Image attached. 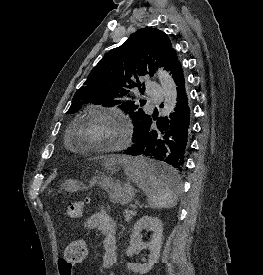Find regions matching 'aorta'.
I'll return each instance as SVG.
<instances>
[{
  "label": "aorta",
  "mask_w": 263,
  "mask_h": 275,
  "mask_svg": "<svg viewBox=\"0 0 263 275\" xmlns=\"http://www.w3.org/2000/svg\"><path fill=\"white\" fill-rule=\"evenodd\" d=\"M157 77L164 96L163 114L169 116L174 111L177 103L176 84L170 73L162 68L157 71Z\"/></svg>",
  "instance_id": "762f6f07"
}]
</instances>
